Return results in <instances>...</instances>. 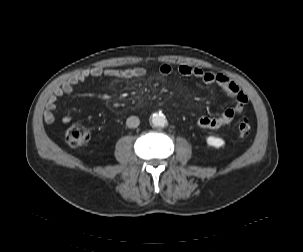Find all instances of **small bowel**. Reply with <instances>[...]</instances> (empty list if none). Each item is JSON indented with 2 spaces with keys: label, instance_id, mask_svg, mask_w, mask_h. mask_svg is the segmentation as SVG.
<instances>
[{
  "label": "small bowel",
  "instance_id": "1",
  "mask_svg": "<svg viewBox=\"0 0 303 252\" xmlns=\"http://www.w3.org/2000/svg\"><path fill=\"white\" fill-rule=\"evenodd\" d=\"M159 71L162 75L168 76L174 72V68L170 63L164 62L160 64ZM177 72L183 77L196 78L205 84H215L219 86L227 96L234 98L236 101V106L226 109L220 116L198 117L196 124L200 128L218 129L229 124L235 116L242 112L243 108L247 104V95L235 82L223 74L212 73L199 67H194L187 64H180L177 68ZM146 73L147 71L143 67H134L127 69L93 67L90 69L82 70L54 88L45 107L43 115L44 122L46 124H52L56 118L57 100L64 95L70 94L75 86L85 82L89 78L106 77L130 79L141 78L145 76ZM71 119V116L68 114H63L61 116V122L63 124L69 123Z\"/></svg>",
  "mask_w": 303,
  "mask_h": 252
}]
</instances>
